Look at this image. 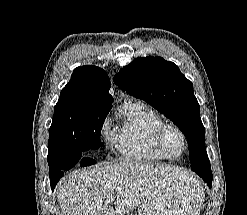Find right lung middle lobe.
<instances>
[{
    "label": "right lung middle lobe",
    "mask_w": 247,
    "mask_h": 215,
    "mask_svg": "<svg viewBox=\"0 0 247 215\" xmlns=\"http://www.w3.org/2000/svg\"><path fill=\"white\" fill-rule=\"evenodd\" d=\"M108 112L109 108L87 103L72 92H61L49 129V166L54 167L66 153L86 154L100 148V131Z\"/></svg>",
    "instance_id": "dd1d6c3e"
}]
</instances>
